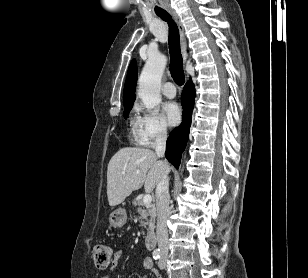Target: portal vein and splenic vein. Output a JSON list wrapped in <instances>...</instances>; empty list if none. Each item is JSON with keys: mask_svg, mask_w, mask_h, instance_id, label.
Segmentation results:
<instances>
[{"mask_svg": "<svg viewBox=\"0 0 308 278\" xmlns=\"http://www.w3.org/2000/svg\"><path fill=\"white\" fill-rule=\"evenodd\" d=\"M122 174L124 175L125 174V172L123 171L122 172ZM151 201H152V197H151V195L149 194V193H147V194H145L144 196H143V202L144 203H151Z\"/></svg>", "mask_w": 308, "mask_h": 278, "instance_id": "1", "label": "portal vein and splenic vein"}]
</instances>
